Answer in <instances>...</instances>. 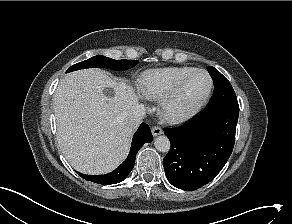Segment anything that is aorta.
Segmentation results:
<instances>
[{
    "label": "aorta",
    "mask_w": 292,
    "mask_h": 224,
    "mask_svg": "<svg viewBox=\"0 0 292 224\" xmlns=\"http://www.w3.org/2000/svg\"><path fill=\"white\" fill-rule=\"evenodd\" d=\"M154 146L159 152H168L171 144L170 140L166 136H158L154 141Z\"/></svg>",
    "instance_id": "aorta-1"
}]
</instances>
